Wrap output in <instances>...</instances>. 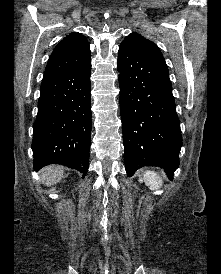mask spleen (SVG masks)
I'll list each match as a JSON object with an SVG mask.
<instances>
[{
	"label": "spleen",
	"mask_w": 221,
	"mask_h": 274,
	"mask_svg": "<svg viewBox=\"0 0 221 274\" xmlns=\"http://www.w3.org/2000/svg\"><path fill=\"white\" fill-rule=\"evenodd\" d=\"M139 181H144L147 187L151 190H158L162 186V180L160 176L154 171H146L143 177L139 178Z\"/></svg>",
	"instance_id": "1"
}]
</instances>
